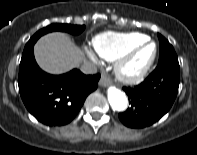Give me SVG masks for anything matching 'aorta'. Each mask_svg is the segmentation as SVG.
<instances>
[{"instance_id": "aorta-1", "label": "aorta", "mask_w": 197, "mask_h": 155, "mask_svg": "<svg viewBox=\"0 0 197 155\" xmlns=\"http://www.w3.org/2000/svg\"><path fill=\"white\" fill-rule=\"evenodd\" d=\"M107 96L113 110L123 111L127 108L128 99L121 90L115 87H110L108 88Z\"/></svg>"}]
</instances>
